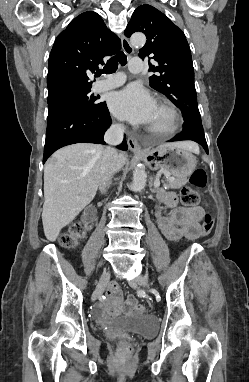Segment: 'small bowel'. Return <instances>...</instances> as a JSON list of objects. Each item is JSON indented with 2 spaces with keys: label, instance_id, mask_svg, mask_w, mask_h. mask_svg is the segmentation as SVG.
<instances>
[{
  "label": "small bowel",
  "instance_id": "small-bowel-1",
  "mask_svg": "<svg viewBox=\"0 0 249 382\" xmlns=\"http://www.w3.org/2000/svg\"><path fill=\"white\" fill-rule=\"evenodd\" d=\"M162 202L169 208V215L158 217V226L162 233L170 240L182 238L195 240L201 235L200 221L203 210L199 206H179L174 194L165 193L161 196ZM121 290L117 283H111L107 289V297L98 305L100 313L116 312L121 304ZM136 304L134 297H129L124 310L131 312Z\"/></svg>",
  "mask_w": 249,
  "mask_h": 382
}]
</instances>
